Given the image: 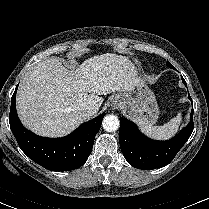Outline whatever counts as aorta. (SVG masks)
<instances>
[{"label":"aorta","mask_w":209,"mask_h":209,"mask_svg":"<svg viewBox=\"0 0 209 209\" xmlns=\"http://www.w3.org/2000/svg\"><path fill=\"white\" fill-rule=\"evenodd\" d=\"M119 125H120V121L118 117L115 115L105 116L102 122L103 129L107 132H114L118 130Z\"/></svg>","instance_id":"obj_1"}]
</instances>
